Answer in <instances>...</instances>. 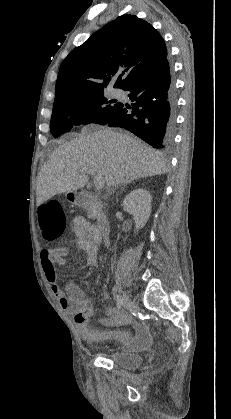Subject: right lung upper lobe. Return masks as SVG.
<instances>
[{"instance_id": "right-lung-upper-lobe-1", "label": "right lung upper lobe", "mask_w": 231, "mask_h": 419, "mask_svg": "<svg viewBox=\"0 0 231 419\" xmlns=\"http://www.w3.org/2000/svg\"><path fill=\"white\" fill-rule=\"evenodd\" d=\"M167 58L159 32L135 15H122L94 33L63 60L54 103L105 91L124 89Z\"/></svg>"}]
</instances>
